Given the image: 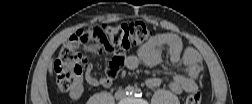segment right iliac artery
<instances>
[{"mask_svg": "<svg viewBox=\"0 0 252 104\" xmlns=\"http://www.w3.org/2000/svg\"><path fill=\"white\" fill-rule=\"evenodd\" d=\"M125 92L127 95H132L134 93V89L131 86L126 87Z\"/></svg>", "mask_w": 252, "mask_h": 104, "instance_id": "82829eb1", "label": "right iliac artery"}]
</instances>
